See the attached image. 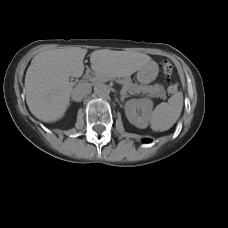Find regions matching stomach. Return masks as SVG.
<instances>
[{
	"label": "stomach",
	"instance_id": "obj_1",
	"mask_svg": "<svg viewBox=\"0 0 228 228\" xmlns=\"http://www.w3.org/2000/svg\"><path fill=\"white\" fill-rule=\"evenodd\" d=\"M158 74V66L154 63H150L147 67L142 68L137 73V80L142 84H149Z\"/></svg>",
	"mask_w": 228,
	"mask_h": 228
}]
</instances>
